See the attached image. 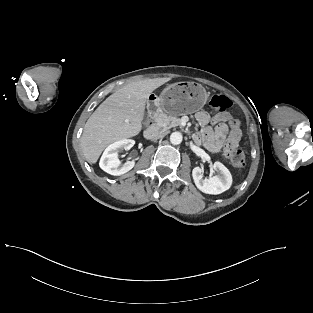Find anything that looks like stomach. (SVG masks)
<instances>
[{
	"instance_id": "0dacf381",
	"label": "stomach",
	"mask_w": 313,
	"mask_h": 313,
	"mask_svg": "<svg viewBox=\"0 0 313 313\" xmlns=\"http://www.w3.org/2000/svg\"><path fill=\"white\" fill-rule=\"evenodd\" d=\"M208 94L200 84L177 82L168 85L159 96L150 98V104L156 110L169 115L191 114L200 110L206 103Z\"/></svg>"
}]
</instances>
